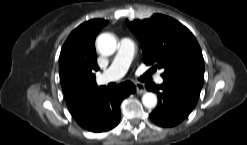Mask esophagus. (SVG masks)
<instances>
[{"label":"esophagus","instance_id":"esophagus-1","mask_svg":"<svg viewBox=\"0 0 247 145\" xmlns=\"http://www.w3.org/2000/svg\"><path fill=\"white\" fill-rule=\"evenodd\" d=\"M135 86H136V91L138 94H143L145 92V88L142 83L136 82Z\"/></svg>","mask_w":247,"mask_h":145}]
</instances>
